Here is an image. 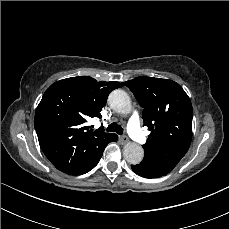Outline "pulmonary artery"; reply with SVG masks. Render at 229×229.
Returning a JSON list of instances; mask_svg holds the SVG:
<instances>
[{
	"label": "pulmonary artery",
	"instance_id": "1",
	"mask_svg": "<svg viewBox=\"0 0 229 229\" xmlns=\"http://www.w3.org/2000/svg\"><path fill=\"white\" fill-rule=\"evenodd\" d=\"M128 111L131 113V118L127 121L126 129L128 133L138 141H143L145 139V134L141 128L140 114L135 109H130Z\"/></svg>",
	"mask_w": 229,
	"mask_h": 229
}]
</instances>
